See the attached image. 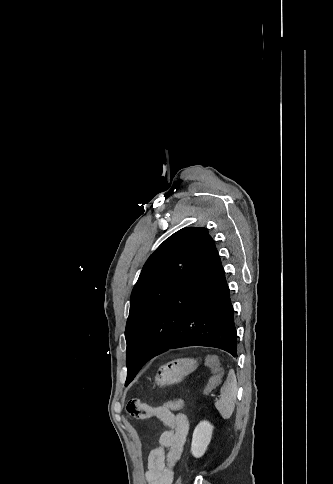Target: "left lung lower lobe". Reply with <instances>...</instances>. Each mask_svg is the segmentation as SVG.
<instances>
[{"label":"left lung lower lobe","mask_w":333,"mask_h":484,"mask_svg":"<svg viewBox=\"0 0 333 484\" xmlns=\"http://www.w3.org/2000/svg\"><path fill=\"white\" fill-rule=\"evenodd\" d=\"M156 309L134 356L136 365L171 349L220 348L237 356L230 291L212 238L202 240ZM175 302H179L175 306ZM128 384H126L127 386Z\"/></svg>","instance_id":"1"}]
</instances>
